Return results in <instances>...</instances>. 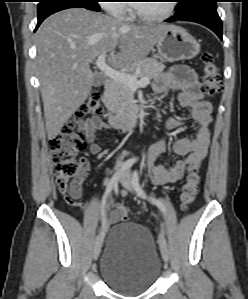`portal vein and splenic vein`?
Listing matches in <instances>:
<instances>
[{"label":"portal vein and splenic vein","mask_w":248,"mask_h":299,"mask_svg":"<svg viewBox=\"0 0 248 299\" xmlns=\"http://www.w3.org/2000/svg\"><path fill=\"white\" fill-rule=\"evenodd\" d=\"M97 67L110 79L119 81L125 85H128L132 89L138 87L146 86L149 83L147 77H143L140 80L137 79V76L127 74L125 72H120L106 63V53H102L96 60Z\"/></svg>","instance_id":"18ae733b"}]
</instances>
